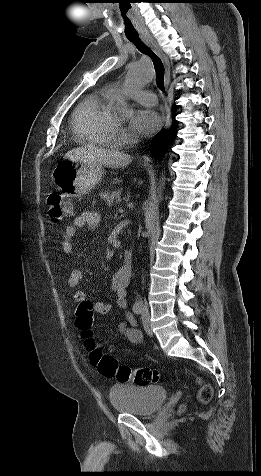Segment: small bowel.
Masks as SVG:
<instances>
[{"mask_svg": "<svg viewBox=\"0 0 261 476\" xmlns=\"http://www.w3.org/2000/svg\"><path fill=\"white\" fill-rule=\"evenodd\" d=\"M100 223V215L95 212H83L78 217L75 218L73 224L68 225L65 228L63 238L61 241V249L64 253L69 254L73 250L72 240L77 234L78 230L81 228H87L89 230L95 229ZM82 272L79 269H73L69 273L67 278V284L69 287L76 288L79 286L82 280ZM130 275H128L123 268H120L112 277L111 280V291L115 296L116 306L125 310L128 306L127 297H126V287L128 285ZM74 300L78 303L89 302L92 304L93 309L101 314L108 315L112 310V305L105 302H94L92 303L86 294L82 291H77L73 296ZM136 322L130 314H125L124 320L119 325L120 335L134 343L141 344L143 337L141 332L135 327Z\"/></svg>", "mask_w": 261, "mask_h": 476, "instance_id": "obj_1", "label": "small bowel"}]
</instances>
